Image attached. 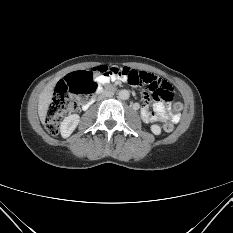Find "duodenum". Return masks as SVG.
I'll use <instances>...</instances> for the list:
<instances>
[{
  "label": "duodenum",
  "mask_w": 233,
  "mask_h": 233,
  "mask_svg": "<svg viewBox=\"0 0 233 233\" xmlns=\"http://www.w3.org/2000/svg\"><path fill=\"white\" fill-rule=\"evenodd\" d=\"M104 91V89L103 88H101L100 90H99V93H102Z\"/></svg>",
  "instance_id": "duodenum-1"
}]
</instances>
